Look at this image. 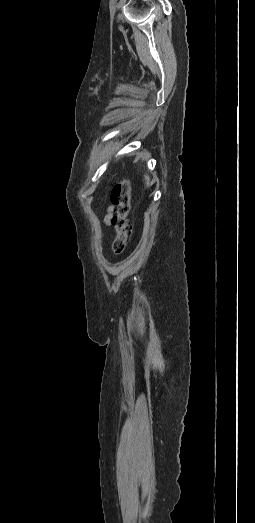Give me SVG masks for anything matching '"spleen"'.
<instances>
[{
  "mask_svg": "<svg viewBox=\"0 0 255 523\" xmlns=\"http://www.w3.org/2000/svg\"><path fill=\"white\" fill-rule=\"evenodd\" d=\"M145 180H146V182H150L149 176H145Z\"/></svg>",
  "mask_w": 255,
  "mask_h": 523,
  "instance_id": "spleen-1",
  "label": "spleen"
}]
</instances>
